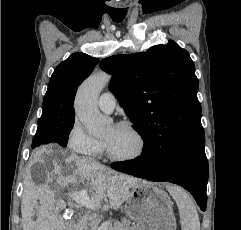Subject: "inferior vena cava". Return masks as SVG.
Returning a JSON list of instances; mask_svg holds the SVG:
<instances>
[{
  "label": "inferior vena cava",
  "mask_w": 241,
  "mask_h": 230,
  "mask_svg": "<svg viewBox=\"0 0 241 230\" xmlns=\"http://www.w3.org/2000/svg\"><path fill=\"white\" fill-rule=\"evenodd\" d=\"M93 164H96V165H98L99 163L98 162H96L95 160H92L91 161Z\"/></svg>",
  "instance_id": "1"
}]
</instances>
